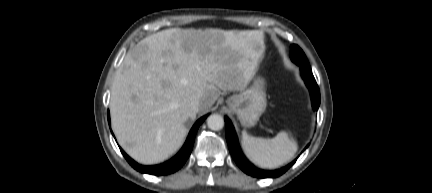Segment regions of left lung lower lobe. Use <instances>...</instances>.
Segmentation results:
<instances>
[{
	"instance_id": "0a47b994",
	"label": "left lung lower lobe",
	"mask_w": 432,
	"mask_h": 193,
	"mask_svg": "<svg viewBox=\"0 0 432 193\" xmlns=\"http://www.w3.org/2000/svg\"><path fill=\"white\" fill-rule=\"evenodd\" d=\"M300 71H301V75H302L307 87L310 90L313 107L315 110H318L319 105H320V91H319V87L315 81V78L311 72L310 66H300ZM224 119H225L226 139H227L230 153H231L233 159L235 160V162L237 163V165L245 173H247L251 176H254V177H259V178L278 177V176L282 175L285 171H287L295 163L296 160L291 162L286 167H283L279 170H274V171H264V170L257 169L254 166H251L250 164H248L245 161V159L242 157V155L239 151L235 132H234V129H233V126H232L230 120L227 117H225Z\"/></svg>"
}]
</instances>
